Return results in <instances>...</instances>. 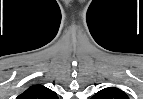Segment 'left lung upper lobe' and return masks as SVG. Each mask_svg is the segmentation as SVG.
I'll use <instances>...</instances> for the list:
<instances>
[{"mask_svg": "<svg viewBox=\"0 0 143 99\" xmlns=\"http://www.w3.org/2000/svg\"><path fill=\"white\" fill-rule=\"evenodd\" d=\"M92 99H128V96L116 87H108L97 92Z\"/></svg>", "mask_w": 143, "mask_h": 99, "instance_id": "1", "label": "left lung upper lobe"}]
</instances>
